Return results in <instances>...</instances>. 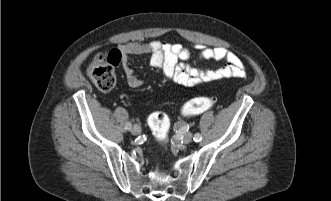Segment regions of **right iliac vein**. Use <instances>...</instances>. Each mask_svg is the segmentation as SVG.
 <instances>
[{
    "label": "right iliac vein",
    "instance_id": "63e3f726",
    "mask_svg": "<svg viewBox=\"0 0 331 201\" xmlns=\"http://www.w3.org/2000/svg\"><path fill=\"white\" fill-rule=\"evenodd\" d=\"M141 132V128L138 125H134L133 128H131V133L133 135H138Z\"/></svg>",
    "mask_w": 331,
    "mask_h": 201
}]
</instances>
